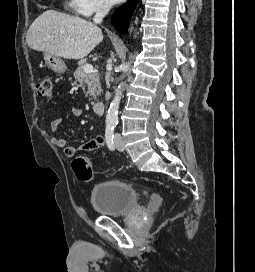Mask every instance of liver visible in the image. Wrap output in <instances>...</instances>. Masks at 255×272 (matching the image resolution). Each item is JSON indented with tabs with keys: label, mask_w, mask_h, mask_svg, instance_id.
I'll return each instance as SVG.
<instances>
[{
	"label": "liver",
	"mask_w": 255,
	"mask_h": 272,
	"mask_svg": "<svg viewBox=\"0 0 255 272\" xmlns=\"http://www.w3.org/2000/svg\"><path fill=\"white\" fill-rule=\"evenodd\" d=\"M102 39V30L90 21L54 10L36 18L26 37L31 49L65 59L84 58Z\"/></svg>",
	"instance_id": "6515ba94"
}]
</instances>
